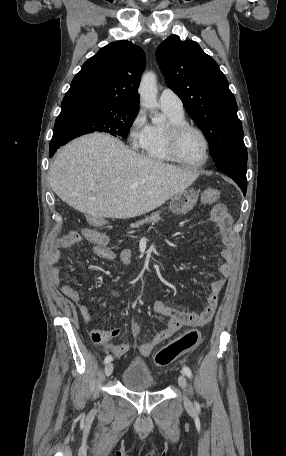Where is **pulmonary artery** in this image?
<instances>
[{
	"label": "pulmonary artery",
	"instance_id": "obj_1",
	"mask_svg": "<svg viewBox=\"0 0 286 456\" xmlns=\"http://www.w3.org/2000/svg\"><path fill=\"white\" fill-rule=\"evenodd\" d=\"M160 106L163 109L170 110L176 113H183V103L179 96L171 89H164L159 97Z\"/></svg>",
	"mask_w": 286,
	"mask_h": 456
}]
</instances>
